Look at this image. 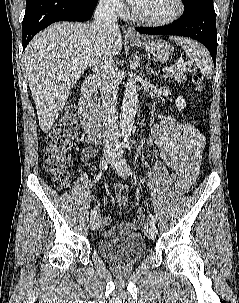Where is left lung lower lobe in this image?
<instances>
[{"instance_id":"1","label":"left lung lower lobe","mask_w":239,"mask_h":303,"mask_svg":"<svg viewBox=\"0 0 239 303\" xmlns=\"http://www.w3.org/2000/svg\"><path fill=\"white\" fill-rule=\"evenodd\" d=\"M136 31L148 35H178L196 39L207 47L216 64L217 32L213 3L200 2L198 5L184 10L181 19L169 26L138 27Z\"/></svg>"}]
</instances>
